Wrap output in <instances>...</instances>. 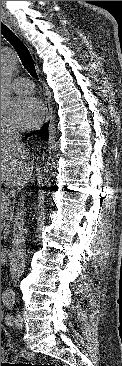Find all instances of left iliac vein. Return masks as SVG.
I'll list each match as a JSON object with an SVG mask.
<instances>
[{"mask_svg":"<svg viewBox=\"0 0 122 366\" xmlns=\"http://www.w3.org/2000/svg\"><path fill=\"white\" fill-rule=\"evenodd\" d=\"M14 323H15V327H16L17 329H21V328H22V317H21V315H20V314H17V316H16V319H15Z\"/></svg>","mask_w":122,"mask_h":366,"instance_id":"4c4485c4","label":"left iliac vein"}]
</instances>
